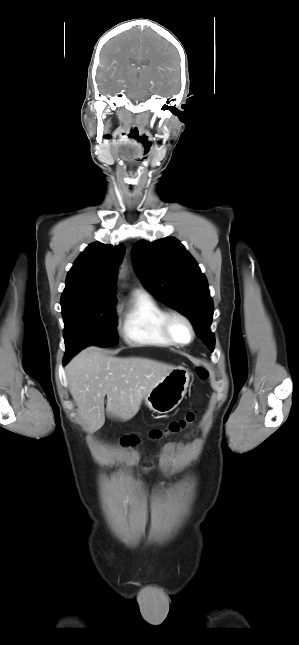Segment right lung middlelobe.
<instances>
[{"instance_id":"dd1d6c3e","label":"right lung middle lobe","mask_w":299,"mask_h":645,"mask_svg":"<svg viewBox=\"0 0 299 645\" xmlns=\"http://www.w3.org/2000/svg\"><path fill=\"white\" fill-rule=\"evenodd\" d=\"M64 340L68 361L90 345H117L115 330V299L104 301H68L61 304Z\"/></svg>"}]
</instances>
